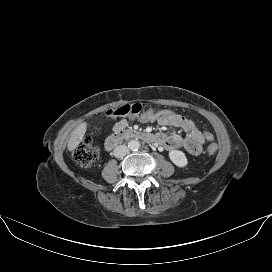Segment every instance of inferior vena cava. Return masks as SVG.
Masks as SVG:
<instances>
[{"label":"inferior vena cava","mask_w":272,"mask_h":272,"mask_svg":"<svg viewBox=\"0 0 272 272\" xmlns=\"http://www.w3.org/2000/svg\"><path fill=\"white\" fill-rule=\"evenodd\" d=\"M129 149L125 145H118L115 147L113 154L116 158H121L124 157L126 154H128Z\"/></svg>","instance_id":"1"}]
</instances>
